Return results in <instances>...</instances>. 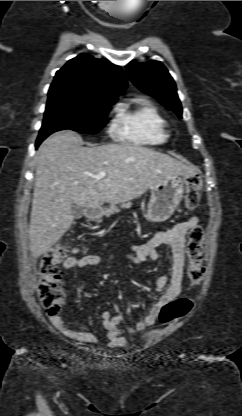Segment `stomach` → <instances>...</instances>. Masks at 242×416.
<instances>
[{
  "mask_svg": "<svg viewBox=\"0 0 242 416\" xmlns=\"http://www.w3.org/2000/svg\"><path fill=\"white\" fill-rule=\"evenodd\" d=\"M187 177L183 175H169L151 187L150 202L146 218L151 222L167 220L178 207L184 194V185ZM103 211L99 210L92 218L99 219Z\"/></svg>",
  "mask_w": 242,
  "mask_h": 416,
  "instance_id": "1",
  "label": "stomach"
}]
</instances>
